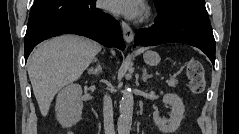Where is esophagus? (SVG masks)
Masks as SVG:
<instances>
[{
  "mask_svg": "<svg viewBox=\"0 0 239 134\" xmlns=\"http://www.w3.org/2000/svg\"><path fill=\"white\" fill-rule=\"evenodd\" d=\"M121 27L123 31V37L127 43H131L134 38V33L132 28L124 21L121 22Z\"/></svg>",
  "mask_w": 239,
  "mask_h": 134,
  "instance_id": "esophagus-1",
  "label": "esophagus"
}]
</instances>
